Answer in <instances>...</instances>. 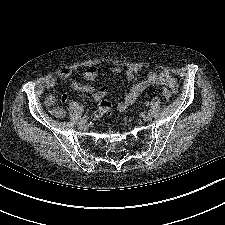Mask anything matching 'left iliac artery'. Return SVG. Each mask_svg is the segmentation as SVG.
<instances>
[{"label": "left iliac artery", "instance_id": "obj_1", "mask_svg": "<svg viewBox=\"0 0 225 225\" xmlns=\"http://www.w3.org/2000/svg\"><path fill=\"white\" fill-rule=\"evenodd\" d=\"M152 110L149 108L146 112L149 114Z\"/></svg>", "mask_w": 225, "mask_h": 225}]
</instances>
